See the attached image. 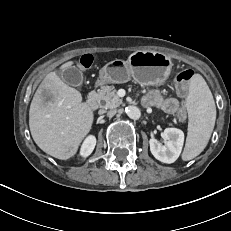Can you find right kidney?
<instances>
[{
    "label": "right kidney",
    "instance_id": "obj_1",
    "mask_svg": "<svg viewBox=\"0 0 231 231\" xmlns=\"http://www.w3.org/2000/svg\"><path fill=\"white\" fill-rule=\"evenodd\" d=\"M96 145V138L93 135L88 136L82 144L80 154L83 157L89 156Z\"/></svg>",
    "mask_w": 231,
    "mask_h": 231
}]
</instances>
